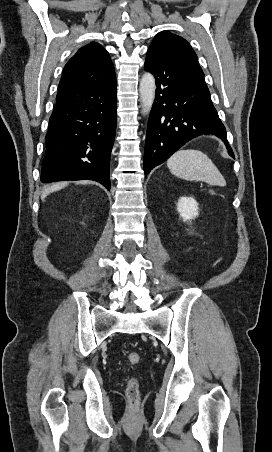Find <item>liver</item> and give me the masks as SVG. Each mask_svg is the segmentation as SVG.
<instances>
[{"instance_id":"6515ba94","label":"liver","mask_w":272,"mask_h":452,"mask_svg":"<svg viewBox=\"0 0 272 452\" xmlns=\"http://www.w3.org/2000/svg\"><path fill=\"white\" fill-rule=\"evenodd\" d=\"M68 182H62L55 185H52L51 187L47 188L43 192V197H46L51 192L57 191L59 189H62L63 187L67 186Z\"/></svg>"}]
</instances>
